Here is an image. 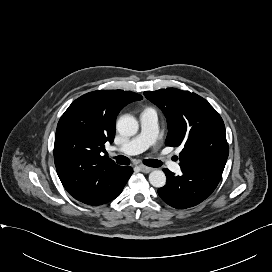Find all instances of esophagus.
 Here are the masks:
<instances>
[{
	"label": "esophagus",
	"instance_id": "esophagus-1",
	"mask_svg": "<svg viewBox=\"0 0 272 272\" xmlns=\"http://www.w3.org/2000/svg\"><path fill=\"white\" fill-rule=\"evenodd\" d=\"M139 168L144 173H149V172L153 171V168L147 167V166H144V165H140Z\"/></svg>",
	"mask_w": 272,
	"mask_h": 272
}]
</instances>
